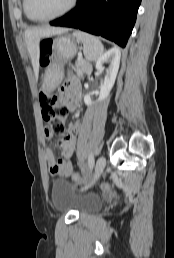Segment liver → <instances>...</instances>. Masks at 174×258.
<instances>
[{
  "mask_svg": "<svg viewBox=\"0 0 174 258\" xmlns=\"http://www.w3.org/2000/svg\"><path fill=\"white\" fill-rule=\"evenodd\" d=\"M66 31H67L66 29L55 28V27H37V28L27 29L25 31V42L27 45L28 52L30 54L36 79H38V74H39L40 39L43 37H49L55 34H61Z\"/></svg>",
  "mask_w": 174,
  "mask_h": 258,
  "instance_id": "obj_1",
  "label": "liver"
}]
</instances>
